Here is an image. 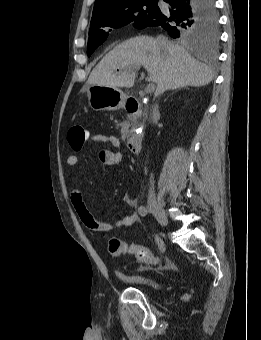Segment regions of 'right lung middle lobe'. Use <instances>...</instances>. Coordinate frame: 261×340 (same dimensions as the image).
<instances>
[{"instance_id":"obj_1","label":"right lung middle lobe","mask_w":261,"mask_h":340,"mask_svg":"<svg viewBox=\"0 0 261 340\" xmlns=\"http://www.w3.org/2000/svg\"><path fill=\"white\" fill-rule=\"evenodd\" d=\"M157 2L158 0L139 1L124 6L102 19L91 21L87 55L91 56L95 49L106 40L109 35L106 32L107 27L119 28L131 22L137 28L148 27L161 10ZM176 36L181 40L189 41L217 40L219 36L217 14L205 16L191 14L177 25Z\"/></svg>"}]
</instances>
